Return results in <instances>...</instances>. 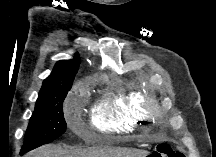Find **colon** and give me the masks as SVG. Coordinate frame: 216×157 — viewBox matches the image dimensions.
<instances>
[{
	"instance_id": "colon-1",
	"label": "colon",
	"mask_w": 216,
	"mask_h": 157,
	"mask_svg": "<svg viewBox=\"0 0 216 157\" xmlns=\"http://www.w3.org/2000/svg\"><path fill=\"white\" fill-rule=\"evenodd\" d=\"M149 157H184V154L174 150L168 144H160L151 152Z\"/></svg>"
}]
</instances>
